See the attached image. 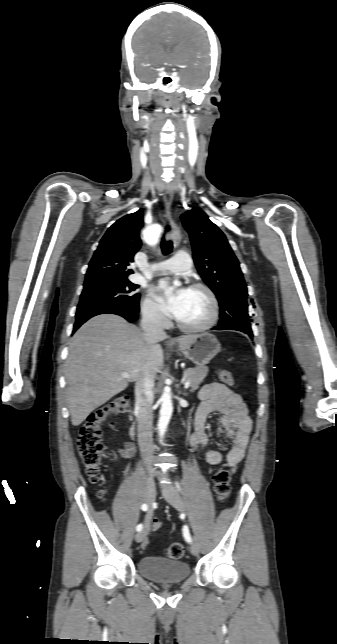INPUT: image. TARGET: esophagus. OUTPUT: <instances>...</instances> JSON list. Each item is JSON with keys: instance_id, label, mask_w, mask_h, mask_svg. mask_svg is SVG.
Listing matches in <instances>:
<instances>
[{"instance_id": "obj_1", "label": "esophagus", "mask_w": 337, "mask_h": 644, "mask_svg": "<svg viewBox=\"0 0 337 644\" xmlns=\"http://www.w3.org/2000/svg\"><path fill=\"white\" fill-rule=\"evenodd\" d=\"M163 201H164V207H165V215L169 221L170 226L172 227L174 245H177L180 238V233H179L178 227L176 226V224L171 218V205L173 201L172 188L169 187L166 189L164 193Z\"/></svg>"}]
</instances>
